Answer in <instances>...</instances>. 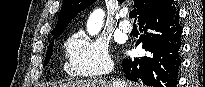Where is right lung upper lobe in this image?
Here are the masks:
<instances>
[{"label": "right lung upper lobe", "instance_id": "1", "mask_svg": "<svg viewBox=\"0 0 205 87\" xmlns=\"http://www.w3.org/2000/svg\"><path fill=\"white\" fill-rule=\"evenodd\" d=\"M93 1L94 0H64L57 25L55 29L51 31V34L59 36L64 31L68 23L78 14V12L84 10ZM123 1L124 0H118V2ZM162 1L164 0H135V7L137 8L139 15L138 18L153 9Z\"/></svg>", "mask_w": 205, "mask_h": 87}]
</instances>
